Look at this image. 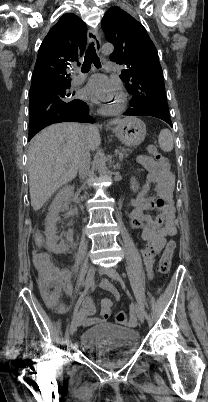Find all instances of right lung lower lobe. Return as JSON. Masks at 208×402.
I'll return each mask as SVG.
<instances>
[{
  "mask_svg": "<svg viewBox=\"0 0 208 402\" xmlns=\"http://www.w3.org/2000/svg\"><path fill=\"white\" fill-rule=\"evenodd\" d=\"M59 122L94 123V120L88 114V106L82 101L80 106L74 110L68 112L48 113L29 121V140H31L41 129Z\"/></svg>",
  "mask_w": 208,
  "mask_h": 402,
  "instance_id": "98d812e1",
  "label": "right lung lower lobe"
}]
</instances>
